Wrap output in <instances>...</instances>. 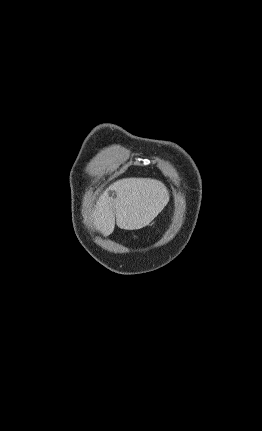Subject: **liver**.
Segmentation results:
<instances>
[{
  "mask_svg": "<svg viewBox=\"0 0 262 431\" xmlns=\"http://www.w3.org/2000/svg\"><path fill=\"white\" fill-rule=\"evenodd\" d=\"M116 192V198L108 191ZM169 201L166 186L150 178H126L113 183L100 196L93 211L96 228L106 237L116 224L125 230L149 225Z\"/></svg>",
  "mask_w": 262,
  "mask_h": 431,
  "instance_id": "1",
  "label": "liver"
}]
</instances>
